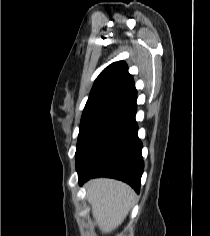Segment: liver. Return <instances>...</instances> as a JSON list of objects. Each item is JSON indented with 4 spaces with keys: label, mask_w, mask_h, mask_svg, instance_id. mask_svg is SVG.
<instances>
[{
    "label": "liver",
    "mask_w": 210,
    "mask_h": 236,
    "mask_svg": "<svg viewBox=\"0 0 210 236\" xmlns=\"http://www.w3.org/2000/svg\"><path fill=\"white\" fill-rule=\"evenodd\" d=\"M92 215L102 233L119 227L131 210L135 192L127 184L109 178H96L86 184Z\"/></svg>",
    "instance_id": "6515ba94"
}]
</instances>
